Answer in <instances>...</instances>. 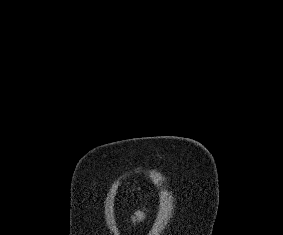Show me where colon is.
Here are the masks:
<instances>
[{
    "label": "colon",
    "mask_w": 283,
    "mask_h": 235,
    "mask_svg": "<svg viewBox=\"0 0 283 235\" xmlns=\"http://www.w3.org/2000/svg\"><path fill=\"white\" fill-rule=\"evenodd\" d=\"M145 212H146V210L143 208V209L139 210V211L135 214V216H136L137 218H140V217H142V215H143Z\"/></svg>",
    "instance_id": "1"
}]
</instances>
